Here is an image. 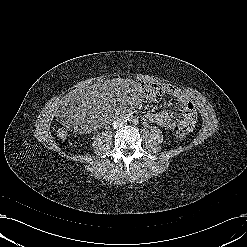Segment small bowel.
<instances>
[{"mask_svg": "<svg viewBox=\"0 0 247 247\" xmlns=\"http://www.w3.org/2000/svg\"><path fill=\"white\" fill-rule=\"evenodd\" d=\"M154 84L158 87L160 96L168 94L172 96L178 103V109L183 115V119L176 120L170 113L166 111L151 112L147 114V119L158 126L166 129L184 128L188 132L192 131L196 124V112L193 102L176 86L165 83H144ZM158 99V98H157ZM155 99V100H157ZM150 100V101H155Z\"/></svg>", "mask_w": 247, "mask_h": 247, "instance_id": "small-bowel-1", "label": "small bowel"}]
</instances>
